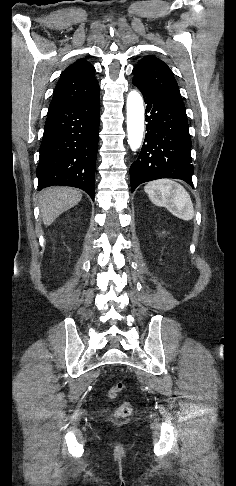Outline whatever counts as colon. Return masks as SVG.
I'll return each mask as SVG.
<instances>
[{"label":"colon","mask_w":236,"mask_h":486,"mask_svg":"<svg viewBox=\"0 0 236 486\" xmlns=\"http://www.w3.org/2000/svg\"><path fill=\"white\" fill-rule=\"evenodd\" d=\"M123 388V384L121 382L115 384L112 386L108 391L106 392V396L109 399H114L118 396V394L121 392ZM133 407L130 402H123L121 405L118 406L116 409L115 415L118 418H125L128 417L132 413Z\"/></svg>","instance_id":"colon-1"}]
</instances>
